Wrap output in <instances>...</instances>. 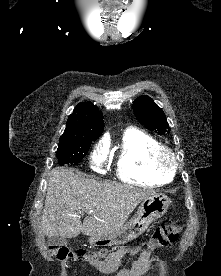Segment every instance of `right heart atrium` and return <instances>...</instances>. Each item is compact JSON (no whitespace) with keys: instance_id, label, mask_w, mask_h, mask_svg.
Masks as SVG:
<instances>
[{"instance_id":"right-heart-atrium-1","label":"right heart atrium","mask_w":221,"mask_h":276,"mask_svg":"<svg viewBox=\"0 0 221 276\" xmlns=\"http://www.w3.org/2000/svg\"><path fill=\"white\" fill-rule=\"evenodd\" d=\"M108 158V148L105 144H99L93 151L90 162L94 169L101 170Z\"/></svg>"}]
</instances>
